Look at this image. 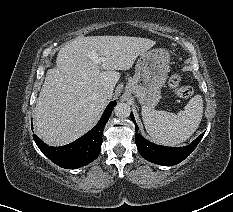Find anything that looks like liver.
<instances>
[{"label": "liver", "mask_w": 233, "mask_h": 212, "mask_svg": "<svg viewBox=\"0 0 233 212\" xmlns=\"http://www.w3.org/2000/svg\"><path fill=\"white\" fill-rule=\"evenodd\" d=\"M155 41L129 36H87L67 42L58 52L56 67L47 71L35 108L36 133L51 146L68 144L96 122L113 92L119 70L130 69L141 52ZM96 51L106 61L93 63Z\"/></svg>", "instance_id": "1"}]
</instances>
